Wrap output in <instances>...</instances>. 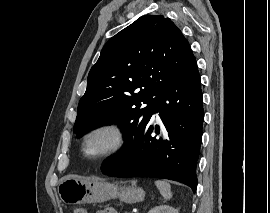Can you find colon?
<instances>
[{"mask_svg":"<svg viewBox=\"0 0 270 213\" xmlns=\"http://www.w3.org/2000/svg\"><path fill=\"white\" fill-rule=\"evenodd\" d=\"M74 213H88L87 210L85 208H82V207H77L75 210H74Z\"/></svg>","mask_w":270,"mask_h":213,"instance_id":"5ec220e1","label":"colon"}]
</instances>
